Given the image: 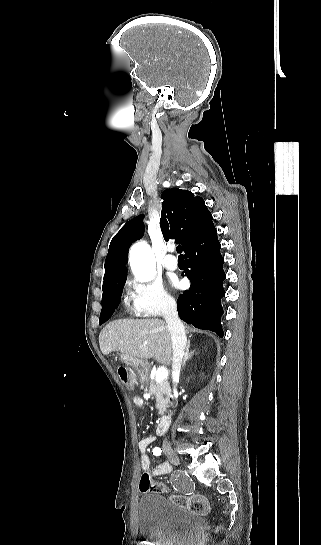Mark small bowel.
<instances>
[{
	"label": "small bowel",
	"mask_w": 321,
	"mask_h": 545,
	"mask_svg": "<svg viewBox=\"0 0 321 545\" xmlns=\"http://www.w3.org/2000/svg\"><path fill=\"white\" fill-rule=\"evenodd\" d=\"M133 403L136 406L141 407L144 404V400L141 396L136 395L133 398ZM155 440L156 438L154 436H148L138 443L141 468L144 472L150 473L152 477L161 476L171 471V467L168 464L158 465L154 469L151 468V462L149 456L147 455V449Z\"/></svg>",
	"instance_id": "small-bowel-1"
}]
</instances>
